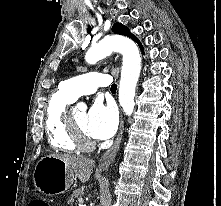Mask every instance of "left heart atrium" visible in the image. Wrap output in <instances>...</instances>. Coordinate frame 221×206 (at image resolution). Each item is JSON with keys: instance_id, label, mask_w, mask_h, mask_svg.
<instances>
[{"instance_id": "1", "label": "left heart atrium", "mask_w": 221, "mask_h": 206, "mask_svg": "<svg viewBox=\"0 0 221 206\" xmlns=\"http://www.w3.org/2000/svg\"><path fill=\"white\" fill-rule=\"evenodd\" d=\"M118 126V115L114 106L96 102L87 113L86 131L95 139L113 136Z\"/></svg>"}]
</instances>
